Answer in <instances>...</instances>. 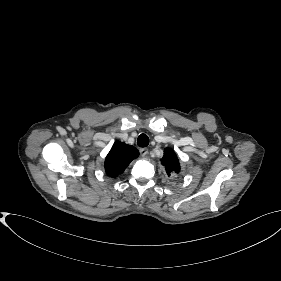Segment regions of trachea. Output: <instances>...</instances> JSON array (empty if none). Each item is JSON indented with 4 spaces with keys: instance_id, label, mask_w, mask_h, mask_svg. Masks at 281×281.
<instances>
[{
    "instance_id": "3493384b",
    "label": "trachea",
    "mask_w": 281,
    "mask_h": 281,
    "mask_svg": "<svg viewBox=\"0 0 281 281\" xmlns=\"http://www.w3.org/2000/svg\"><path fill=\"white\" fill-rule=\"evenodd\" d=\"M137 144L139 147H146L149 144V138L146 134H141L137 139Z\"/></svg>"
}]
</instances>
